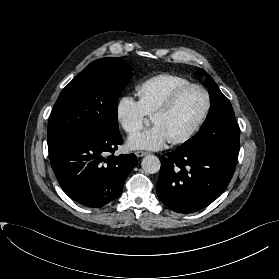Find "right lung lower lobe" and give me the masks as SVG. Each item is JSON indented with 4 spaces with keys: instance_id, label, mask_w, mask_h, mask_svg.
Returning a JSON list of instances; mask_svg holds the SVG:
<instances>
[{
    "instance_id": "98d812e1",
    "label": "right lung lower lobe",
    "mask_w": 279,
    "mask_h": 279,
    "mask_svg": "<svg viewBox=\"0 0 279 279\" xmlns=\"http://www.w3.org/2000/svg\"><path fill=\"white\" fill-rule=\"evenodd\" d=\"M122 143L117 131L74 139L49 149L52 169L64 192L91 208L117 199L137 163L134 154L113 155Z\"/></svg>"
}]
</instances>
